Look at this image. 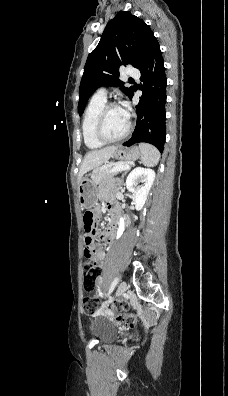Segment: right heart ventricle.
Masks as SVG:
<instances>
[{"instance_id":"1","label":"right heart ventricle","mask_w":228,"mask_h":396,"mask_svg":"<svg viewBox=\"0 0 228 396\" xmlns=\"http://www.w3.org/2000/svg\"><path fill=\"white\" fill-rule=\"evenodd\" d=\"M106 104V99L93 96L90 100L82 121V135L85 145L92 150L101 148L104 144L95 135L96 118Z\"/></svg>"}]
</instances>
